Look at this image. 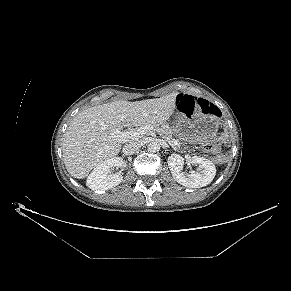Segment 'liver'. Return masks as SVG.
Instances as JSON below:
<instances>
[{
  "label": "liver",
  "mask_w": 291,
  "mask_h": 291,
  "mask_svg": "<svg viewBox=\"0 0 291 291\" xmlns=\"http://www.w3.org/2000/svg\"><path fill=\"white\" fill-rule=\"evenodd\" d=\"M176 97L177 93H171L142 101H115L77 114L67 128L62 145L69 174L83 179L93 168L116 156L122 142L112 139L111 133L123 125L137 127L169 119L176 108Z\"/></svg>",
  "instance_id": "1"
}]
</instances>
